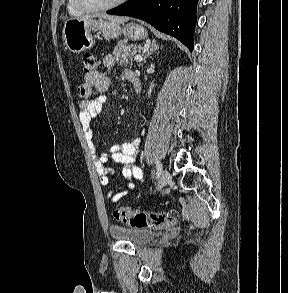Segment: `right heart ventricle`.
<instances>
[{"label":"right heart ventricle","instance_id":"right-heart-ventricle-1","mask_svg":"<svg viewBox=\"0 0 288 293\" xmlns=\"http://www.w3.org/2000/svg\"><path fill=\"white\" fill-rule=\"evenodd\" d=\"M67 10H68V13L72 16H81L84 14L83 11L79 10L73 0H67Z\"/></svg>","mask_w":288,"mask_h":293}]
</instances>
